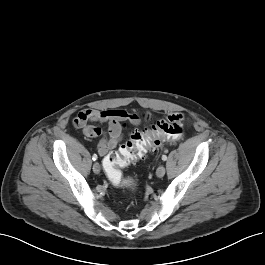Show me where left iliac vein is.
I'll return each instance as SVG.
<instances>
[{
	"label": "left iliac vein",
	"instance_id": "obj_1",
	"mask_svg": "<svg viewBox=\"0 0 265 265\" xmlns=\"http://www.w3.org/2000/svg\"><path fill=\"white\" fill-rule=\"evenodd\" d=\"M156 175L157 177L161 178L165 175V167L164 166H159L156 170Z\"/></svg>",
	"mask_w": 265,
	"mask_h": 265
}]
</instances>
